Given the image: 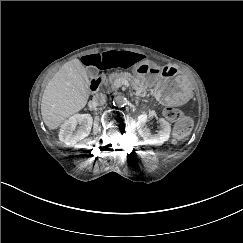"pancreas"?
Listing matches in <instances>:
<instances>
[{"label": "pancreas", "instance_id": "pancreas-1", "mask_svg": "<svg viewBox=\"0 0 243 243\" xmlns=\"http://www.w3.org/2000/svg\"><path fill=\"white\" fill-rule=\"evenodd\" d=\"M122 78H127L128 80L132 81L133 89L135 90V95H137L139 97H147L149 95L151 90L147 86L142 85L141 82H138L132 74L113 73L110 75H105L104 81L109 82L111 84L112 90H115L121 86Z\"/></svg>", "mask_w": 243, "mask_h": 243}]
</instances>
